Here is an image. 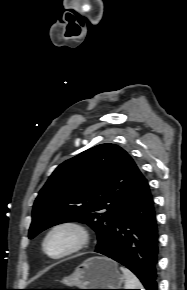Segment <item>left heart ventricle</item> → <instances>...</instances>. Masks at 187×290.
<instances>
[{"label":"left heart ventricle","mask_w":187,"mask_h":290,"mask_svg":"<svg viewBox=\"0 0 187 290\" xmlns=\"http://www.w3.org/2000/svg\"><path fill=\"white\" fill-rule=\"evenodd\" d=\"M74 235L66 230L53 234L47 243V250L51 254H59L68 249L74 243Z\"/></svg>","instance_id":"obj_1"}]
</instances>
